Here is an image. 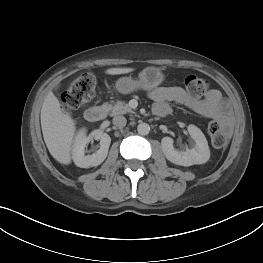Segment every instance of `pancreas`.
Returning a JSON list of instances; mask_svg holds the SVG:
<instances>
[{
    "instance_id": "pancreas-1",
    "label": "pancreas",
    "mask_w": 263,
    "mask_h": 263,
    "mask_svg": "<svg viewBox=\"0 0 263 263\" xmlns=\"http://www.w3.org/2000/svg\"><path fill=\"white\" fill-rule=\"evenodd\" d=\"M103 107L109 112L110 116L134 113V111L123 101H117L113 104L104 103Z\"/></svg>"
}]
</instances>
